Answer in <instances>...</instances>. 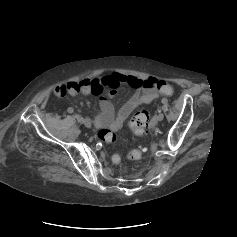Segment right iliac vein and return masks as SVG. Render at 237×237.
I'll use <instances>...</instances> for the list:
<instances>
[{"instance_id": "right-iliac-vein-1", "label": "right iliac vein", "mask_w": 237, "mask_h": 237, "mask_svg": "<svg viewBox=\"0 0 237 237\" xmlns=\"http://www.w3.org/2000/svg\"><path fill=\"white\" fill-rule=\"evenodd\" d=\"M83 123L87 128H91V126H92V123L89 119H84Z\"/></svg>"}]
</instances>
